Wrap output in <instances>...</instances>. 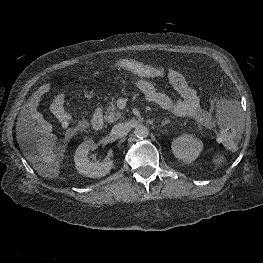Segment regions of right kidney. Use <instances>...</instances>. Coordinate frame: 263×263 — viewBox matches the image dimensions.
Wrapping results in <instances>:
<instances>
[{
	"mask_svg": "<svg viewBox=\"0 0 263 263\" xmlns=\"http://www.w3.org/2000/svg\"><path fill=\"white\" fill-rule=\"evenodd\" d=\"M96 146L93 140H87L81 143L76 149L74 161L79 173L90 177L100 178L107 175L113 167V161L106 159L104 162H92L88 158V152L95 150Z\"/></svg>",
	"mask_w": 263,
	"mask_h": 263,
	"instance_id": "ca27d5eb",
	"label": "right kidney"
}]
</instances>
